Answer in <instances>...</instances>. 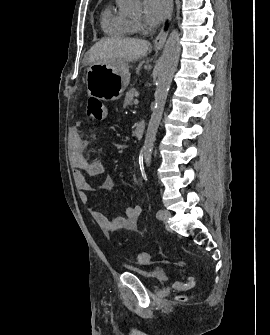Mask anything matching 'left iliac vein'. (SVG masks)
I'll list each match as a JSON object with an SVG mask.
<instances>
[{
	"mask_svg": "<svg viewBox=\"0 0 270 335\" xmlns=\"http://www.w3.org/2000/svg\"><path fill=\"white\" fill-rule=\"evenodd\" d=\"M171 214L169 211L167 210H162V216L160 217V219L164 222H166L169 218H170Z\"/></svg>",
	"mask_w": 270,
	"mask_h": 335,
	"instance_id": "4c4485c4",
	"label": "left iliac vein"
}]
</instances>
